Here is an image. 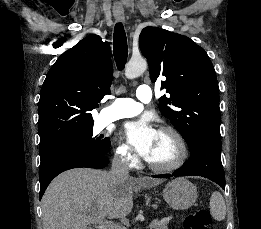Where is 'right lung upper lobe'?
<instances>
[{
  "label": "right lung upper lobe",
  "mask_w": 261,
  "mask_h": 229,
  "mask_svg": "<svg viewBox=\"0 0 261 229\" xmlns=\"http://www.w3.org/2000/svg\"><path fill=\"white\" fill-rule=\"evenodd\" d=\"M108 42L89 35L64 52L49 70L38 104L39 150L53 148L93 129L90 111L112 83Z\"/></svg>",
  "instance_id": "cb5924a9"
}]
</instances>
